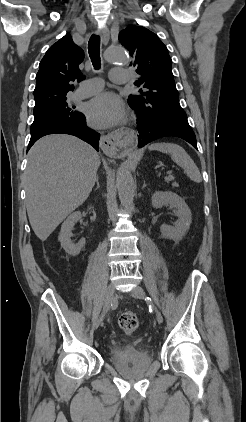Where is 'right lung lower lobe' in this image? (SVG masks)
Returning <instances> with one entry per match:
<instances>
[{
    "label": "right lung lower lobe",
    "instance_id": "1",
    "mask_svg": "<svg viewBox=\"0 0 246 422\" xmlns=\"http://www.w3.org/2000/svg\"><path fill=\"white\" fill-rule=\"evenodd\" d=\"M56 133L74 135L91 144L96 150H98L100 134L92 131L87 127L86 118L83 114H81V116L76 120L69 122L53 123L41 127L37 130L31 131V138L28 144L27 151L39 138L48 134Z\"/></svg>",
    "mask_w": 246,
    "mask_h": 422
}]
</instances>
